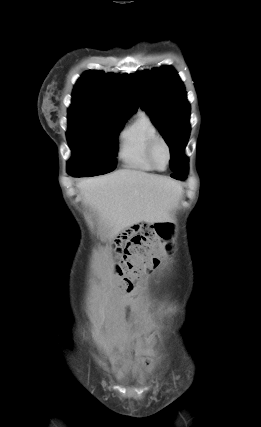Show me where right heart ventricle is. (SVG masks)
I'll return each instance as SVG.
<instances>
[{"label": "right heart ventricle", "mask_w": 261, "mask_h": 427, "mask_svg": "<svg viewBox=\"0 0 261 427\" xmlns=\"http://www.w3.org/2000/svg\"><path fill=\"white\" fill-rule=\"evenodd\" d=\"M158 135V130L150 116L143 111L138 112L119 134L118 158L129 169L154 171L147 151L151 139Z\"/></svg>", "instance_id": "e07e8e85"}]
</instances>
